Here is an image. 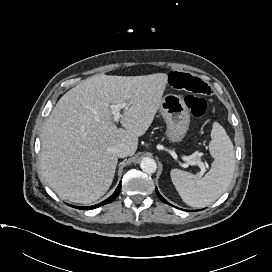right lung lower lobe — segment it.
<instances>
[{
  "instance_id": "right-lung-lower-lobe-1",
  "label": "right lung lower lobe",
  "mask_w": 272,
  "mask_h": 272,
  "mask_svg": "<svg viewBox=\"0 0 272 272\" xmlns=\"http://www.w3.org/2000/svg\"><path fill=\"white\" fill-rule=\"evenodd\" d=\"M120 189H121V183L118 185L116 191L108 199H106L105 201H103L97 205L90 206V207H78V206H72V207L82 209V210H89V209H94V208L100 207L102 205L112 202L119 195Z\"/></svg>"
}]
</instances>
